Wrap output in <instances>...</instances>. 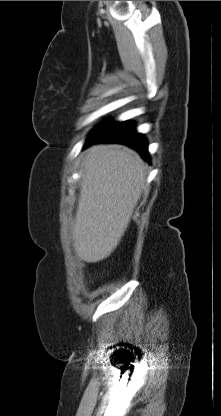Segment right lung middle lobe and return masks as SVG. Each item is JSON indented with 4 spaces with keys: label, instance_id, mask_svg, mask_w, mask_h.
I'll return each instance as SVG.
<instances>
[{
    "label": "right lung middle lobe",
    "instance_id": "right-lung-middle-lobe-1",
    "mask_svg": "<svg viewBox=\"0 0 221 416\" xmlns=\"http://www.w3.org/2000/svg\"><path fill=\"white\" fill-rule=\"evenodd\" d=\"M101 126H102V125H100L98 128H100ZM98 128H96L95 130H97ZM95 130H94V131H95Z\"/></svg>",
    "mask_w": 221,
    "mask_h": 416
}]
</instances>
